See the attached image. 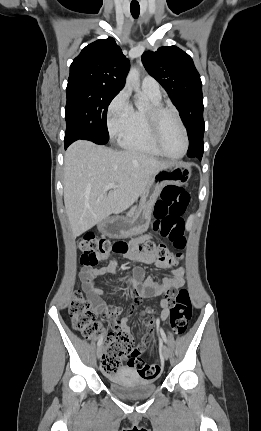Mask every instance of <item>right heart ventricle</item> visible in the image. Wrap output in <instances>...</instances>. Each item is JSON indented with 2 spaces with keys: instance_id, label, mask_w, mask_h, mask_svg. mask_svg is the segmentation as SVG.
<instances>
[{
  "instance_id": "right-heart-ventricle-1",
  "label": "right heart ventricle",
  "mask_w": 261,
  "mask_h": 431,
  "mask_svg": "<svg viewBox=\"0 0 261 431\" xmlns=\"http://www.w3.org/2000/svg\"><path fill=\"white\" fill-rule=\"evenodd\" d=\"M151 105L161 104V97L145 91ZM119 144L122 148L152 156H162L154 145L147 121L145 111L133 109L130 122L126 129L119 135Z\"/></svg>"
}]
</instances>
